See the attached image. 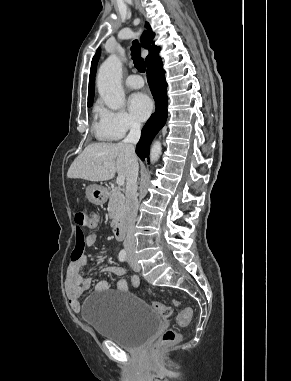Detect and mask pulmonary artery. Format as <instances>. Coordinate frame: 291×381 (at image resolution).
I'll return each instance as SVG.
<instances>
[{
    "instance_id": "e3ab8cb5",
    "label": "pulmonary artery",
    "mask_w": 291,
    "mask_h": 381,
    "mask_svg": "<svg viewBox=\"0 0 291 381\" xmlns=\"http://www.w3.org/2000/svg\"><path fill=\"white\" fill-rule=\"evenodd\" d=\"M126 85L130 89H139L144 85V81L138 74H132L127 77Z\"/></svg>"
}]
</instances>
